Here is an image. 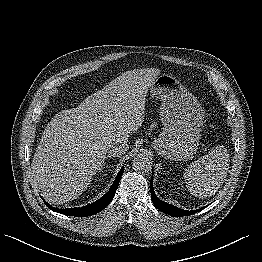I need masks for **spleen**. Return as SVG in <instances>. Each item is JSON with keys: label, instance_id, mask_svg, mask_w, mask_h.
Returning <instances> with one entry per match:
<instances>
[{"label": "spleen", "instance_id": "3e777b00", "mask_svg": "<svg viewBox=\"0 0 262 262\" xmlns=\"http://www.w3.org/2000/svg\"><path fill=\"white\" fill-rule=\"evenodd\" d=\"M229 153L224 146H217L192 163L184 172L188 190L199 198L216 192L229 169Z\"/></svg>", "mask_w": 262, "mask_h": 262}]
</instances>
